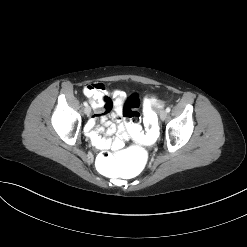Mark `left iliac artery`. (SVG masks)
Here are the masks:
<instances>
[{
  "mask_svg": "<svg viewBox=\"0 0 247 247\" xmlns=\"http://www.w3.org/2000/svg\"><path fill=\"white\" fill-rule=\"evenodd\" d=\"M170 110H171L170 107H167V108H166V112H167V113H169Z\"/></svg>",
  "mask_w": 247,
  "mask_h": 247,
  "instance_id": "44dca946",
  "label": "left iliac artery"
}]
</instances>
